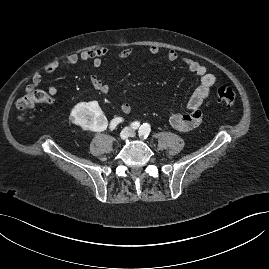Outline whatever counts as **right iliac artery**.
<instances>
[{
	"instance_id": "1",
	"label": "right iliac artery",
	"mask_w": 269,
	"mask_h": 269,
	"mask_svg": "<svg viewBox=\"0 0 269 269\" xmlns=\"http://www.w3.org/2000/svg\"><path fill=\"white\" fill-rule=\"evenodd\" d=\"M119 119H113L111 124H110V129L113 130L116 125L118 124V121ZM140 126V123L138 121H135L133 123H131V128H133L134 130L138 129Z\"/></svg>"
}]
</instances>
